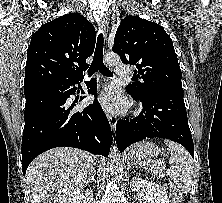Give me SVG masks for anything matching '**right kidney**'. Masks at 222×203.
<instances>
[{"mask_svg":"<svg viewBox=\"0 0 222 203\" xmlns=\"http://www.w3.org/2000/svg\"><path fill=\"white\" fill-rule=\"evenodd\" d=\"M93 192L91 190H81L76 192L73 196L66 199L64 203H92Z\"/></svg>","mask_w":222,"mask_h":203,"instance_id":"obj_1","label":"right kidney"}]
</instances>
